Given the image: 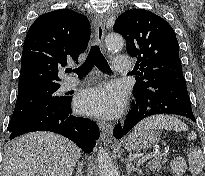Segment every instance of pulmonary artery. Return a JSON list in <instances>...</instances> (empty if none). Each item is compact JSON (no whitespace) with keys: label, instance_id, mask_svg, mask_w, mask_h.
<instances>
[{"label":"pulmonary artery","instance_id":"pulmonary-artery-1","mask_svg":"<svg viewBox=\"0 0 205 176\" xmlns=\"http://www.w3.org/2000/svg\"><path fill=\"white\" fill-rule=\"evenodd\" d=\"M131 68V61H130V56L123 54L116 56L115 58V65L114 69L117 72H126L130 70ZM79 83V80L75 77H68L64 80L63 82V89H72L75 86H77Z\"/></svg>","mask_w":205,"mask_h":176}]
</instances>
